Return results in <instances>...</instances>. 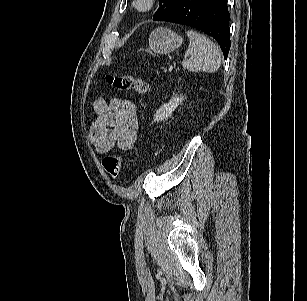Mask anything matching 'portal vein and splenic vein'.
<instances>
[{
	"label": "portal vein and splenic vein",
	"mask_w": 307,
	"mask_h": 301,
	"mask_svg": "<svg viewBox=\"0 0 307 301\" xmlns=\"http://www.w3.org/2000/svg\"><path fill=\"white\" fill-rule=\"evenodd\" d=\"M163 72H164V73H167V72H168V70H167V69H164V70H163Z\"/></svg>",
	"instance_id": "portal-vein-and-splenic-vein-1"
}]
</instances>
